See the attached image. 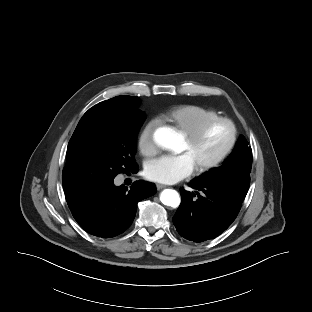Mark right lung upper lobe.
<instances>
[{
	"mask_svg": "<svg viewBox=\"0 0 312 312\" xmlns=\"http://www.w3.org/2000/svg\"><path fill=\"white\" fill-rule=\"evenodd\" d=\"M138 97L134 96H117L104 102L119 103L125 105H133L137 102Z\"/></svg>",
	"mask_w": 312,
	"mask_h": 312,
	"instance_id": "cb5924a9",
	"label": "right lung upper lobe"
}]
</instances>
